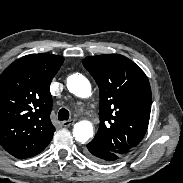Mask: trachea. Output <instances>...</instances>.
<instances>
[{"mask_svg": "<svg viewBox=\"0 0 183 183\" xmlns=\"http://www.w3.org/2000/svg\"><path fill=\"white\" fill-rule=\"evenodd\" d=\"M58 119L61 121L68 120L69 119V111L67 109L62 108L58 112Z\"/></svg>", "mask_w": 183, "mask_h": 183, "instance_id": "trachea-1", "label": "trachea"}]
</instances>
